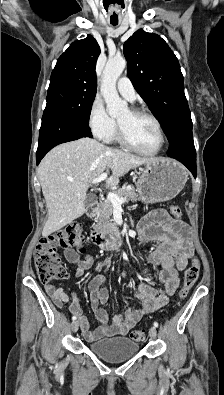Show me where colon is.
<instances>
[{
	"label": "colon",
	"instance_id": "5ec220e1",
	"mask_svg": "<svg viewBox=\"0 0 224 395\" xmlns=\"http://www.w3.org/2000/svg\"><path fill=\"white\" fill-rule=\"evenodd\" d=\"M170 213L175 218L182 216L181 208L177 205L170 207ZM82 235L79 226L68 225L48 236L43 237L35 250L34 263L37 274L42 282L52 280H63L67 277V270L63 266L57 253L58 248H80ZM200 272V262L198 258H193L191 264L185 271L183 284L178 292V302L184 300L196 281ZM131 339L142 341L145 338L144 330L137 329L132 331Z\"/></svg>",
	"mask_w": 224,
	"mask_h": 395
}]
</instances>
